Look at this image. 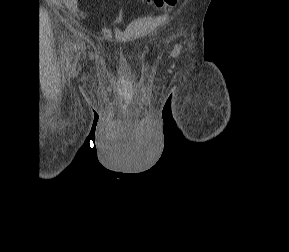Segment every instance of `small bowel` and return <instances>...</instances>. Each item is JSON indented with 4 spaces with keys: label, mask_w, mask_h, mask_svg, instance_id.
I'll return each instance as SVG.
<instances>
[{
    "label": "small bowel",
    "mask_w": 289,
    "mask_h": 252,
    "mask_svg": "<svg viewBox=\"0 0 289 252\" xmlns=\"http://www.w3.org/2000/svg\"><path fill=\"white\" fill-rule=\"evenodd\" d=\"M78 1L79 0H63L66 8L73 13L78 11Z\"/></svg>",
    "instance_id": "small-bowel-1"
}]
</instances>
